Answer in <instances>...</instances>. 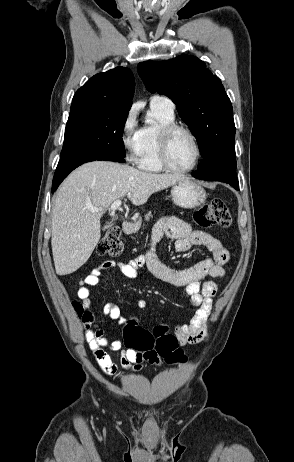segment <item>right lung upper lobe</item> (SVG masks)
Segmentation results:
<instances>
[{"mask_svg": "<svg viewBox=\"0 0 294 462\" xmlns=\"http://www.w3.org/2000/svg\"><path fill=\"white\" fill-rule=\"evenodd\" d=\"M135 80L125 67H116L90 78L75 93L71 108L107 107L128 110L132 105Z\"/></svg>", "mask_w": 294, "mask_h": 462, "instance_id": "right-lung-upper-lobe-1", "label": "right lung upper lobe"}]
</instances>
